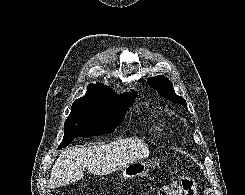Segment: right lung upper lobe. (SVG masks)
<instances>
[{
    "label": "right lung upper lobe",
    "instance_id": "right-lung-upper-lobe-1",
    "mask_svg": "<svg viewBox=\"0 0 245 195\" xmlns=\"http://www.w3.org/2000/svg\"><path fill=\"white\" fill-rule=\"evenodd\" d=\"M136 96L135 91L127 92L122 95H115V93L108 86L103 84H90L88 86L86 95L82 98L100 100L113 103H123L134 99Z\"/></svg>",
    "mask_w": 245,
    "mask_h": 195
}]
</instances>
